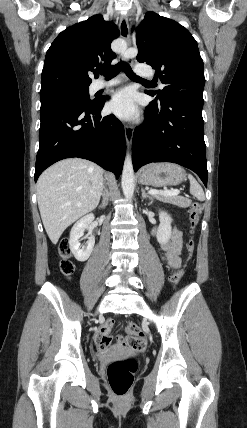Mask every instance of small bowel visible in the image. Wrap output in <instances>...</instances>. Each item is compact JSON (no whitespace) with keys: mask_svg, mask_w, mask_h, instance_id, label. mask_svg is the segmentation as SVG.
<instances>
[{"mask_svg":"<svg viewBox=\"0 0 247 428\" xmlns=\"http://www.w3.org/2000/svg\"><path fill=\"white\" fill-rule=\"evenodd\" d=\"M154 232L155 234H157L158 230L156 229ZM182 247V232L175 228L171 229L169 232V240L162 241L161 243V248L163 250V259L171 269H177L180 266Z\"/></svg>","mask_w":247,"mask_h":428,"instance_id":"c3829d8e","label":"small bowel"}]
</instances>
